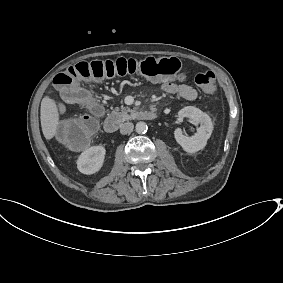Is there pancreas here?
Masks as SVG:
<instances>
[{
  "mask_svg": "<svg viewBox=\"0 0 283 283\" xmlns=\"http://www.w3.org/2000/svg\"><path fill=\"white\" fill-rule=\"evenodd\" d=\"M112 113L116 116L119 117V119L124 122V121H127V120H131V119H134L135 118V115L137 113V109H130V108H127V107H116Z\"/></svg>",
  "mask_w": 283,
  "mask_h": 283,
  "instance_id": "1",
  "label": "pancreas"
}]
</instances>
